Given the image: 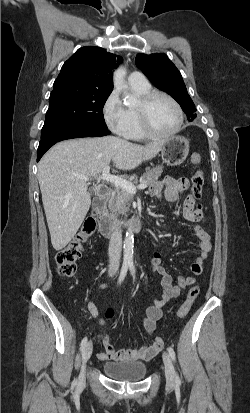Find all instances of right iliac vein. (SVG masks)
<instances>
[{
  "label": "right iliac vein",
  "mask_w": 250,
  "mask_h": 413,
  "mask_svg": "<svg viewBox=\"0 0 250 413\" xmlns=\"http://www.w3.org/2000/svg\"><path fill=\"white\" fill-rule=\"evenodd\" d=\"M92 343L88 342L82 349V369H81V375H80V381H83L85 378V368H86V363L90 359L91 354H92Z\"/></svg>",
  "instance_id": "63e3f726"
}]
</instances>
